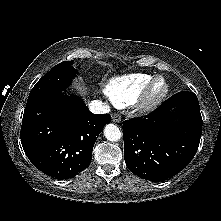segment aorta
Returning a JSON list of instances; mask_svg holds the SVG:
<instances>
[{
  "mask_svg": "<svg viewBox=\"0 0 221 221\" xmlns=\"http://www.w3.org/2000/svg\"><path fill=\"white\" fill-rule=\"evenodd\" d=\"M104 136L107 140L116 142L121 139L122 133L116 125L110 123L107 124L104 128Z\"/></svg>",
  "mask_w": 221,
  "mask_h": 221,
  "instance_id": "obj_1",
  "label": "aorta"
}]
</instances>
